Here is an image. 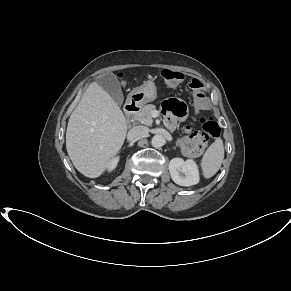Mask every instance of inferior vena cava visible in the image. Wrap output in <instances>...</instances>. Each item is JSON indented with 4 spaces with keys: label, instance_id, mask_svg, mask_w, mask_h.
I'll list each match as a JSON object with an SVG mask.
<instances>
[{
    "label": "inferior vena cava",
    "instance_id": "obj_1",
    "mask_svg": "<svg viewBox=\"0 0 291 291\" xmlns=\"http://www.w3.org/2000/svg\"><path fill=\"white\" fill-rule=\"evenodd\" d=\"M148 132H149V129L147 127L136 126L130 130L129 136L131 138H139V137H143V136L147 135Z\"/></svg>",
    "mask_w": 291,
    "mask_h": 291
}]
</instances>
